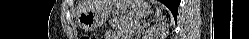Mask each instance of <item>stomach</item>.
<instances>
[{"mask_svg":"<svg viewBox=\"0 0 249 39\" xmlns=\"http://www.w3.org/2000/svg\"><path fill=\"white\" fill-rule=\"evenodd\" d=\"M117 9L122 13L137 19L149 12V5L145 0H124ZM111 7H95L79 14L77 23L85 31H93L108 19Z\"/></svg>","mask_w":249,"mask_h":39,"instance_id":"1","label":"stomach"}]
</instances>
